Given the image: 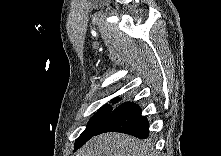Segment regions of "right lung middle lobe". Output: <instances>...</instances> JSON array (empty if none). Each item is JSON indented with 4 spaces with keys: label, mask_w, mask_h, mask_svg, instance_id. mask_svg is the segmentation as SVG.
Instances as JSON below:
<instances>
[{
    "label": "right lung middle lobe",
    "mask_w": 221,
    "mask_h": 156,
    "mask_svg": "<svg viewBox=\"0 0 221 156\" xmlns=\"http://www.w3.org/2000/svg\"><path fill=\"white\" fill-rule=\"evenodd\" d=\"M113 110L114 108L108 104H105L99 109V111L89 120L86 129L81 133V135L77 139L74 145L75 150L81 147L84 143H86L91 137H93L96 134V132L100 129L102 124L105 122V120L108 118V116Z\"/></svg>",
    "instance_id": "right-lung-middle-lobe-1"
}]
</instances>
